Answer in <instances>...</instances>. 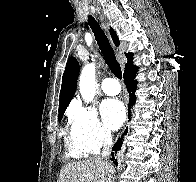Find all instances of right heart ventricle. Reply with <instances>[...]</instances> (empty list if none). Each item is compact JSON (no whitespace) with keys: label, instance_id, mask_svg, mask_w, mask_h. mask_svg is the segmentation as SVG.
Here are the masks:
<instances>
[{"label":"right heart ventricle","instance_id":"e07e8e85","mask_svg":"<svg viewBox=\"0 0 196 182\" xmlns=\"http://www.w3.org/2000/svg\"><path fill=\"white\" fill-rule=\"evenodd\" d=\"M67 151L70 157L72 158H81L86 153L82 151V149L78 146V144L75 142L72 133L70 132L67 140Z\"/></svg>","mask_w":196,"mask_h":182}]
</instances>
